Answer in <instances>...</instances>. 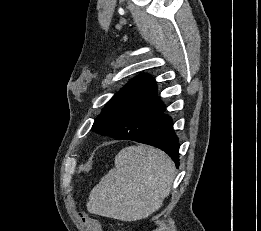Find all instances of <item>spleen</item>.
<instances>
[{"label":"spleen","mask_w":261,"mask_h":231,"mask_svg":"<svg viewBox=\"0 0 261 231\" xmlns=\"http://www.w3.org/2000/svg\"><path fill=\"white\" fill-rule=\"evenodd\" d=\"M174 177V164L162 151L144 145L123 148L115 168L92 189L87 209L122 221L146 218L169 195Z\"/></svg>","instance_id":"1"}]
</instances>
